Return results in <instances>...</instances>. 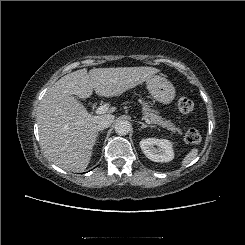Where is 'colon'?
<instances>
[{"instance_id":"5ec220e1","label":"colon","mask_w":245,"mask_h":245,"mask_svg":"<svg viewBox=\"0 0 245 245\" xmlns=\"http://www.w3.org/2000/svg\"><path fill=\"white\" fill-rule=\"evenodd\" d=\"M178 108L185 114H193L194 103L187 97L178 100ZM201 139L200 133L196 129H189L185 134V141L190 144L198 143Z\"/></svg>"}]
</instances>
